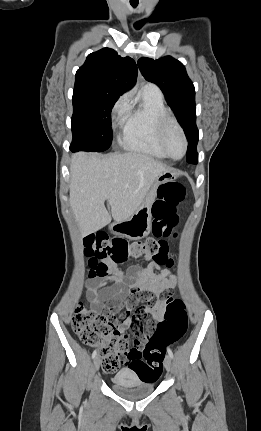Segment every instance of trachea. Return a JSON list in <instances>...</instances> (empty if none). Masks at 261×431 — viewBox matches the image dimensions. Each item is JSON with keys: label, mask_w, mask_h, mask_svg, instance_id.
Segmentation results:
<instances>
[{"label": "trachea", "mask_w": 261, "mask_h": 431, "mask_svg": "<svg viewBox=\"0 0 261 431\" xmlns=\"http://www.w3.org/2000/svg\"><path fill=\"white\" fill-rule=\"evenodd\" d=\"M137 5H138V3H131V6H132L133 8H136V7H137Z\"/></svg>", "instance_id": "1"}]
</instances>
